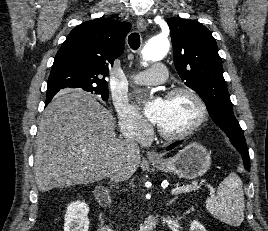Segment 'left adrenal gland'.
I'll use <instances>...</instances> for the list:
<instances>
[{"label": "left adrenal gland", "mask_w": 268, "mask_h": 231, "mask_svg": "<svg viewBox=\"0 0 268 231\" xmlns=\"http://www.w3.org/2000/svg\"><path fill=\"white\" fill-rule=\"evenodd\" d=\"M176 199H177V197L171 199V200L167 203V205H171V204H173V202H175Z\"/></svg>", "instance_id": "a2214340"}]
</instances>
